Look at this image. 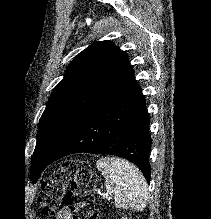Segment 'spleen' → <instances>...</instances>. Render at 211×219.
Returning a JSON list of instances; mask_svg holds the SVG:
<instances>
[{
	"instance_id": "3e777b00",
	"label": "spleen",
	"mask_w": 211,
	"mask_h": 219,
	"mask_svg": "<svg viewBox=\"0 0 211 219\" xmlns=\"http://www.w3.org/2000/svg\"><path fill=\"white\" fill-rule=\"evenodd\" d=\"M96 166L105 177L107 192L114 195L116 208L142 211L146 207L147 183L138 168L116 157L101 158Z\"/></svg>"
}]
</instances>
